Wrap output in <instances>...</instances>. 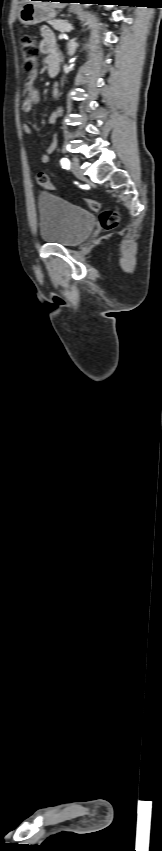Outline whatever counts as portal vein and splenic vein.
Listing matches in <instances>:
<instances>
[{"label": "portal vein and splenic vein", "mask_w": 162, "mask_h": 851, "mask_svg": "<svg viewBox=\"0 0 162 851\" xmlns=\"http://www.w3.org/2000/svg\"><path fill=\"white\" fill-rule=\"evenodd\" d=\"M66 38H67L66 34H60L59 37H58L59 40L66 39Z\"/></svg>", "instance_id": "1"}]
</instances>
